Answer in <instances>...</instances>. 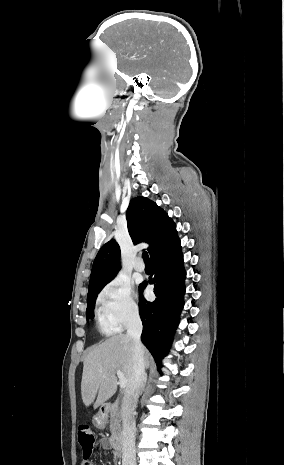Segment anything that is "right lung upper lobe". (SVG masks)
Masks as SVG:
<instances>
[{
	"instance_id": "cb5924a9",
	"label": "right lung upper lobe",
	"mask_w": 284,
	"mask_h": 465,
	"mask_svg": "<svg viewBox=\"0 0 284 465\" xmlns=\"http://www.w3.org/2000/svg\"><path fill=\"white\" fill-rule=\"evenodd\" d=\"M128 231L134 244L147 242L152 258L176 238V225L168 214L148 198L130 201L126 212ZM120 269V247L111 239L99 250L91 271L88 296L101 291Z\"/></svg>"
}]
</instances>
